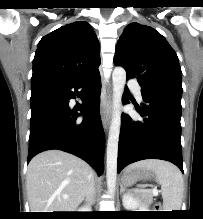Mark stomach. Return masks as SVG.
Returning <instances> with one entry per match:
<instances>
[{
  "mask_svg": "<svg viewBox=\"0 0 203 219\" xmlns=\"http://www.w3.org/2000/svg\"><path fill=\"white\" fill-rule=\"evenodd\" d=\"M153 177L152 171L146 168L126 170L122 176V182L126 185L134 184L140 180H149Z\"/></svg>",
  "mask_w": 203,
  "mask_h": 219,
  "instance_id": "0dacf381",
  "label": "stomach"
}]
</instances>
